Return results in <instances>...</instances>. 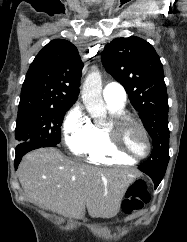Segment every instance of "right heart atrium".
I'll list each match as a JSON object with an SVG mask.
<instances>
[{
  "label": "right heart atrium",
  "instance_id": "1",
  "mask_svg": "<svg viewBox=\"0 0 187 242\" xmlns=\"http://www.w3.org/2000/svg\"><path fill=\"white\" fill-rule=\"evenodd\" d=\"M64 141L75 155L86 154L97 139L96 127L81 107H74L63 125Z\"/></svg>",
  "mask_w": 187,
  "mask_h": 242
}]
</instances>
